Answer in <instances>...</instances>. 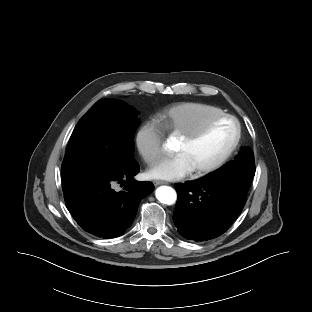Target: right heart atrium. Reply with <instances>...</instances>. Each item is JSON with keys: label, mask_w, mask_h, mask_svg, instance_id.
Listing matches in <instances>:
<instances>
[{"label": "right heart atrium", "mask_w": 312, "mask_h": 312, "mask_svg": "<svg viewBox=\"0 0 312 312\" xmlns=\"http://www.w3.org/2000/svg\"><path fill=\"white\" fill-rule=\"evenodd\" d=\"M163 137V126L156 118H148L140 126L136 144L146 163L152 165L164 155Z\"/></svg>", "instance_id": "obj_1"}]
</instances>
